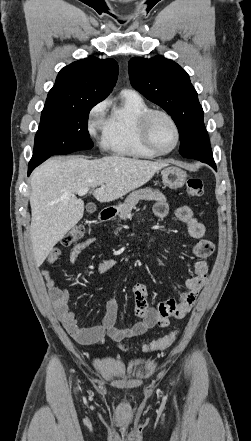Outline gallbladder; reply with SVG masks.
Here are the masks:
<instances>
[{
  "mask_svg": "<svg viewBox=\"0 0 251 441\" xmlns=\"http://www.w3.org/2000/svg\"><path fill=\"white\" fill-rule=\"evenodd\" d=\"M86 209H87V211H88L89 213H93V212L96 211V205L93 204V203H89V204L86 206Z\"/></svg>",
  "mask_w": 251,
  "mask_h": 441,
  "instance_id": "obj_1",
  "label": "gallbladder"
}]
</instances>
